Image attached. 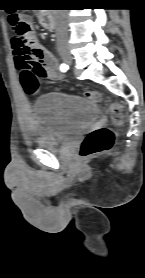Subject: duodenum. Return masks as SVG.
<instances>
[{
  "instance_id": "410a0bca",
  "label": "duodenum",
  "mask_w": 145,
  "mask_h": 278,
  "mask_svg": "<svg viewBox=\"0 0 145 278\" xmlns=\"http://www.w3.org/2000/svg\"><path fill=\"white\" fill-rule=\"evenodd\" d=\"M39 21L50 31H53L55 29V23L52 21L49 15L47 14L41 15Z\"/></svg>"
}]
</instances>
